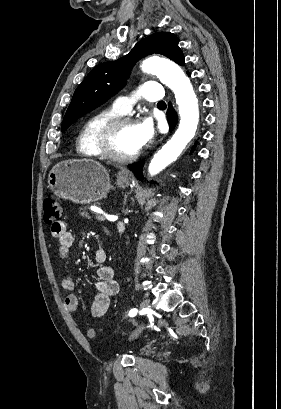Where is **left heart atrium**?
I'll list each match as a JSON object with an SVG mask.
<instances>
[{"label":"left heart atrium","mask_w":281,"mask_h":409,"mask_svg":"<svg viewBox=\"0 0 281 409\" xmlns=\"http://www.w3.org/2000/svg\"><path fill=\"white\" fill-rule=\"evenodd\" d=\"M138 141L141 147L149 143L155 134L154 125L151 120L144 119L136 125Z\"/></svg>","instance_id":"1"}]
</instances>
